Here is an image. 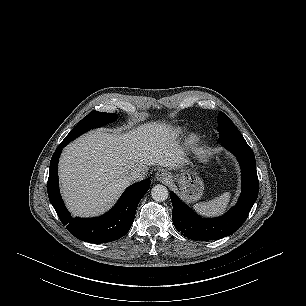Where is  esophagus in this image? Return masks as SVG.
Segmentation results:
<instances>
[{
    "label": "esophagus",
    "mask_w": 306,
    "mask_h": 306,
    "mask_svg": "<svg viewBox=\"0 0 306 306\" xmlns=\"http://www.w3.org/2000/svg\"><path fill=\"white\" fill-rule=\"evenodd\" d=\"M157 181L168 183L171 179L169 172L164 169H159L155 175Z\"/></svg>",
    "instance_id": "1"
}]
</instances>
